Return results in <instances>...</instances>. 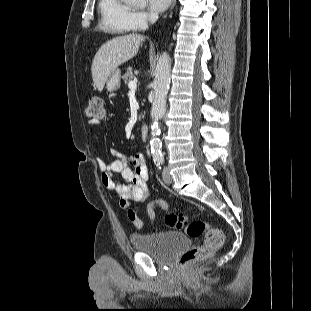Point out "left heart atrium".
<instances>
[{
	"label": "left heart atrium",
	"instance_id": "left-heart-atrium-1",
	"mask_svg": "<svg viewBox=\"0 0 311 311\" xmlns=\"http://www.w3.org/2000/svg\"><path fill=\"white\" fill-rule=\"evenodd\" d=\"M171 3V0H148V5L155 12L164 11Z\"/></svg>",
	"mask_w": 311,
	"mask_h": 311
}]
</instances>
